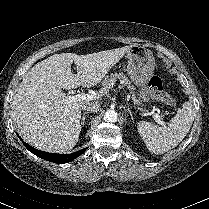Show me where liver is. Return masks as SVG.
<instances>
[{
  "label": "liver",
  "instance_id": "1",
  "mask_svg": "<svg viewBox=\"0 0 209 209\" xmlns=\"http://www.w3.org/2000/svg\"><path fill=\"white\" fill-rule=\"evenodd\" d=\"M131 47L86 55L54 54L33 66L12 100V119L22 138L46 152L71 150L79 138L81 107L87 101L68 102L62 89L97 85Z\"/></svg>",
  "mask_w": 209,
  "mask_h": 209
}]
</instances>
